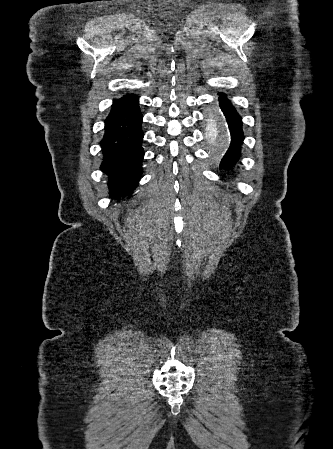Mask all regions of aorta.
Instances as JSON below:
<instances>
[{
  "instance_id": "1",
  "label": "aorta",
  "mask_w": 333,
  "mask_h": 449,
  "mask_svg": "<svg viewBox=\"0 0 333 449\" xmlns=\"http://www.w3.org/2000/svg\"><path fill=\"white\" fill-rule=\"evenodd\" d=\"M210 119L212 123L217 124L219 127V131L211 134L209 137V141L219 150H222L229 141V135L225 129L223 119L218 112H214L210 115Z\"/></svg>"
}]
</instances>
